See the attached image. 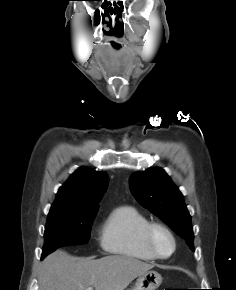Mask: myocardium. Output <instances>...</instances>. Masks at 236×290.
I'll return each mask as SVG.
<instances>
[{"instance_id": "1", "label": "myocardium", "mask_w": 236, "mask_h": 290, "mask_svg": "<svg viewBox=\"0 0 236 290\" xmlns=\"http://www.w3.org/2000/svg\"><path fill=\"white\" fill-rule=\"evenodd\" d=\"M158 232H162L169 237L172 243V249L169 254H162L158 250L155 242V237ZM144 241L149 252L157 259H168L170 258L176 251L177 243L176 238L172 230L166 225L159 222H151L144 232Z\"/></svg>"}]
</instances>
